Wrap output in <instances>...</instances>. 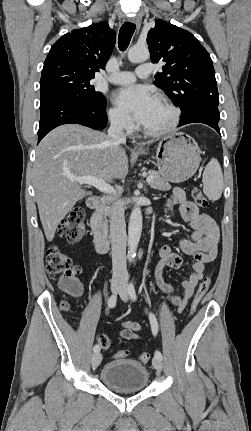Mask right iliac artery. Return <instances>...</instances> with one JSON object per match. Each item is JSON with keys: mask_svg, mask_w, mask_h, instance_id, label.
Returning a JSON list of instances; mask_svg holds the SVG:
<instances>
[{"mask_svg": "<svg viewBox=\"0 0 251 431\" xmlns=\"http://www.w3.org/2000/svg\"><path fill=\"white\" fill-rule=\"evenodd\" d=\"M116 301H117V296L116 295H112L109 300H108V306L109 308H114L116 305ZM93 351L94 352H99L100 351V347L98 345H95L93 347Z\"/></svg>", "mask_w": 251, "mask_h": 431, "instance_id": "right-iliac-artery-1", "label": "right iliac artery"}]
</instances>
